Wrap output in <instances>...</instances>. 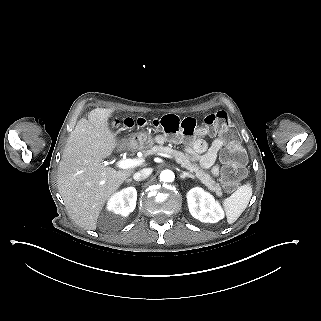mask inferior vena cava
Wrapping results in <instances>:
<instances>
[{"label": "inferior vena cava", "mask_w": 321, "mask_h": 321, "mask_svg": "<svg viewBox=\"0 0 321 321\" xmlns=\"http://www.w3.org/2000/svg\"><path fill=\"white\" fill-rule=\"evenodd\" d=\"M151 174H152L151 168H144V169L140 170L139 172H136L133 175V178L136 181H142V180L148 178Z\"/></svg>", "instance_id": "inferior-vena-cava-1"}]
</instances>
